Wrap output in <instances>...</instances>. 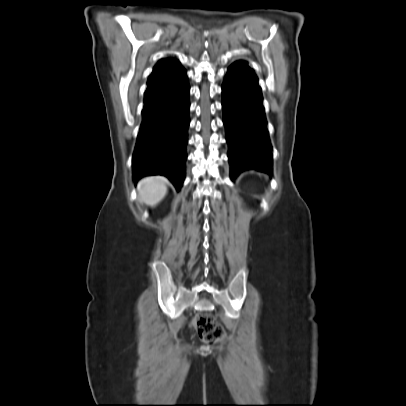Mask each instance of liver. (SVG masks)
<instances>
[{
	"label": "liver",
	"instance_id": "1",
	"mask_svg": "<svg viewBox=\"0 0 406 406\" xmlns=\"http://www.w3.org/2000/svg\"><path fill=\"white\" fill-rule=\"evenodd\" d=\"M139 198L148 206H156L167 194L166 179L162 177L144 178L139 182Z\"/></svg>",
	"mask_w": 406,
	"mask_h": 406
}]
</instances>
